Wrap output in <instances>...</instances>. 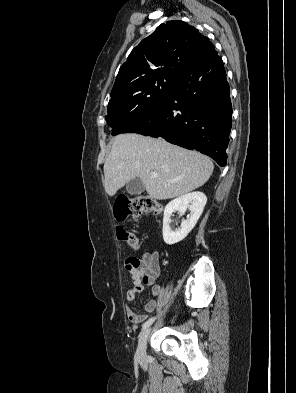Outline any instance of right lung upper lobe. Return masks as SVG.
Segmentation results:
<instances>
[{
    "label": "right lung upper lobe",
    "instance_id": "cb5924a9",
    "mask_svg": "<svg viewBox=\"0 0 296 393\" xmlns=\"http://www.w3.org/2000/svg\"><path fill=\"white\" fill-rule=\"evenodd\" d=\"M212 47L207 37L186 22L159 25L120 67L109 103L138 96L154 81L177 80Z\"/></svg>",
    "mask_w": 296,
    "mask_h": 393
}]
</instances>
